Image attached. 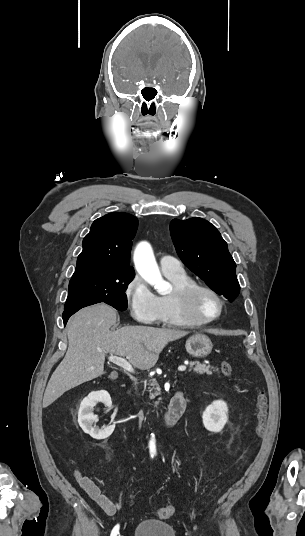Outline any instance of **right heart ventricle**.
<instances>
[{
  "label": "right heart ventricle",
  "mask_w": 305,
  "mask_h": 536,
  "mask_svg": "<svg viewBox=\"0 0 305 536\" xmlns=\"http://www.w3.org/2000/svg\"><path fill=\"white\" fill-rule=\"evenodd\" d=\"M164 275L171 281L173 290L197 283L196 280L185 271L180 274L164 273ZM172 292L168 295H163L158 298L160 304L158 322L164 327L187 326V323L180 316L172 301Z\"/></svg>",
  "instance_id": "obj_1"
}]
</instances>
